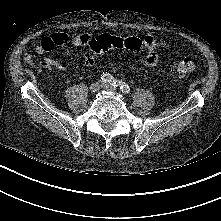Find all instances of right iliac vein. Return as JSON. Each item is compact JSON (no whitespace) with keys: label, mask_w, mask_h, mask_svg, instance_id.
<instances>
[{"label":"right iliac vein","mask_w":221,"mask_h":221,"mask_svg":"<svg viewBox=\"0 0 221 221\" xmlns=\"http://www.w3.org/2000/svg\"><path fill=\"white\" fill-rule=\"evenodd\" d=\"M101 87H102V84L96 82V83L91 84L89 89L92 93H95V92L99 91V89Z\"/></svg>","instance_id":"63e3f726"}]
</instances>
